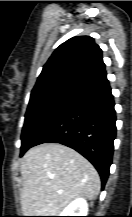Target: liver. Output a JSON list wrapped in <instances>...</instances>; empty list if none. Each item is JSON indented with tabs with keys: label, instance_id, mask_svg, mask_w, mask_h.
<instances>
[{
	"label": "liver",
	"instance_id": "1",
	"mask_svg": "<svg viewBox=\"0 0 132 217\" xmlns=\"http://www.w3.org/2000/svg\"><path fill=\"white\" fill-rule=\"evenodd\" d=\"M24 216H58L74 199L93 200L100 192V177L81 154L59 143L29 149L20 165Z\"/></svg>",
	"mask_w": 132,
	"mask_h": 217
}]
</instances>
